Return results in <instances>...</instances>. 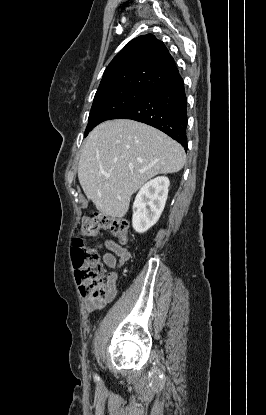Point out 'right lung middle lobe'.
Segmentation results:
<instances>
[{"mask_svg":"<svg viewBox=\"0 0 266 415\" xmlns=\"http://www.w3.org/2000/svg\"><path fill=\"white\" fill-rule=\"evenodd\" d=\"M149 91L137 89H114L96 93L89 114L85 136L95 126L109 120L115 113L143 99Z\"/></svg>","mask_w":266,"mask_h":415,"instance_id":"dd1d6c3e","label":"right lung middle lobe"}]
</instances>
